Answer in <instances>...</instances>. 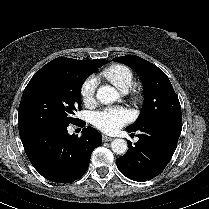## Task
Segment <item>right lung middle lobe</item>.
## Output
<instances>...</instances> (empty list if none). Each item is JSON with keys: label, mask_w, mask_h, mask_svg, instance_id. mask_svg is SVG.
<instances>
[{"label": "right lung middle lobe", "mask_w": 209, "mask_h": 209, "mask_svg": "<svg viewBox=\"0 0 209 209\" xmlns=\"http://www.w3.org/2000/svg\"><path fill=\"white\" fill-rule=\"evenodd\" d=\"M95 72L85 60L57 58L37 71L26 86L18 110L21 140L79 121L81 87Z\"/></svg>", "instance_id": "obj_1"}]
</instances>
